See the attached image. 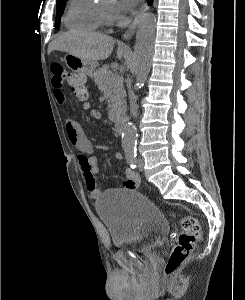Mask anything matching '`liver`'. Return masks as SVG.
Returning <instances> with one entry per match:
<instances>
[{"label":"liver","instance_id":"6515ba94","mask_svg":"<svg viewBox=\"0 0 245 300\" xmlns=\"http://www.w3.org/2000/svg\"><path fill=\"white\" fill-rule=\"evenodd\" d=\"M112 37L95 32H67L51 42L48 48L64 51L81 59L95 61L107 59L113 51Z\"/></svg>","mask_w":245,"mask_h":300}]
</instances>
